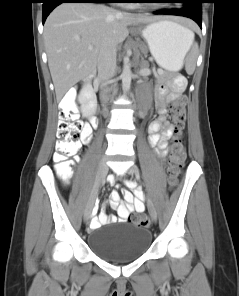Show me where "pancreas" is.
<instances>
[{"mask_svg":"<svg viewBox=\"0 0 239 296\" xmlns=\"http://www.w3.org/2000/svg\"><path fill=\"white\" fill-rule=\"evenodd\" d=\"M158 71H159L160 74L164 73V71L162 69H159Z\"/></svg>","mask_w":239,"mask_h":296,"instance_id":"obj_1","label":"pancreas"}]
</instances>
